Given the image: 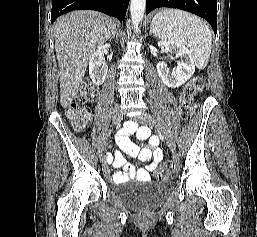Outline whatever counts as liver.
<instances>
[{"label": "liver", "mask_w": 257, "mask_h": 237, "mask_svg": "<svg viewBox=\"0 0 257 237\" xmlns=\"http://www.w3.org/2000/svg\"><path fill=\"white\" fill-rule=\"evenodd\" d=\"M115 30V21L97 11H73L56 20L55 50L63 108H67L76 96L92 54L113 36Z\"/></svg>", "instance_id": "obj_1"}]
</instances>
